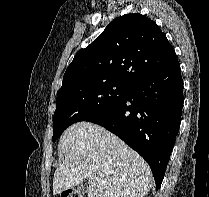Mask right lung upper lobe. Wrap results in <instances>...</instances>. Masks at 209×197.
I'll list each match as a JSON object with an SVG mask.
<instances>
[{"label":"right lung upper lobe","mask_w":209,"mask_h":197,"mask_svg":"<svg viewBox=\"0 0 209 197\" xmlns=\"http://www.w3.org/2000/svg\"><path fill=\"white\" fill-rule=\"evenodd\" d=\"M176 58L174 48L154 21L137 13L125 14L77 52L64 74L62 87L106 80L134 86Z\"/></svg>","instance_id":"1"}]
</instances>
